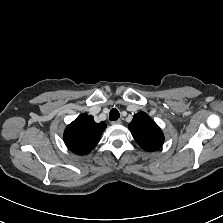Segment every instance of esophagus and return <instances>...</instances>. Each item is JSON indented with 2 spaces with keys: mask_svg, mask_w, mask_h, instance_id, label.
I'll return each mask as SVG.
<instances>
[{
  "mask_svg": "<svg viewBox=\"0 0 223 223\" xmlns=\"http://www.w3.org/2000/svg\"><path fill=\"white\" fill-rule=\"evenodd\" d=\"M121 123H122L121 120H114L111 122L112 125H119Z\"/></svg>",
  "mask_w": 223,
  "mask_h": 223,
  "instance_id": "34e87169",
  "label": "esophagus"
}]
</instances>
